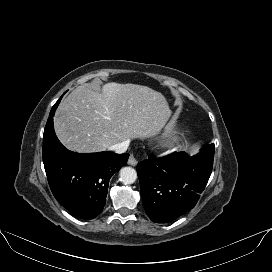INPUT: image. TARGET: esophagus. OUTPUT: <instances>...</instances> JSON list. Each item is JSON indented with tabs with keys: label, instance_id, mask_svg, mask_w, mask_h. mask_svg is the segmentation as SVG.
I'll list each match as a JSON object with an SVG mask.
<instances>
[{
	"label": "esophagus",
	"instance_id": "esophagus-1",
	"mask_svg": "<svg viewBox=\"0 0 272 272\" xmlns=\"http://www.w3.org/2000/svg\"><path fill=\"white\" fill-rule=\"evenodd\" d=\"M128 164L131 166H136L137 165V160L133 155H130L128 159Z\"/></svg>",
	"mask_w": 272,
	"mask_h": 272
}]
</instances>
